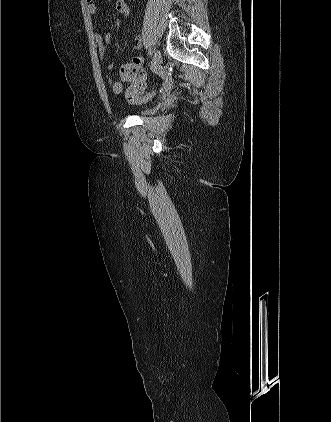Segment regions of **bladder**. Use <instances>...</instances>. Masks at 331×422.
<instances>
[{
    "mask_svg": "<svg viewBox=\"0 0 331 422\" xmlns=\"http://www.w3.org/2000/svg\"><path fill=\"white\" fill-rule=\"evenodd\" d=\"M135 115L146 116L154 112L153 108H138L131 111Z\"/></svg>",
    "mask_w": 331,
    "mask_h": 422,
    "instance_id": "1",
    "label": "bladder"
}]
</instances>
